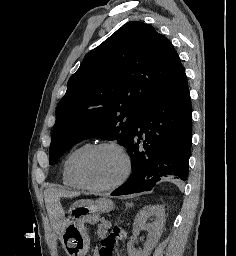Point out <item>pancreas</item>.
Returning a JSON list of instances; mask_svg holds the SVG:
<instances>
[{"mask_svg": "<svg viewBox=\"0 0 236 256\" xmlns=\"http://www.w3.org/2000/svg\"><path fill=\"white\" fill-rule=\"evenodd\" d=\"M109 226H105V224H98V236L99 238H104L106 234H108Z\"/></svg>", "mask_w": 236, "mask_h": 256, "instance_id": "obj_1", "label": "pancreas"}]
</instances>
